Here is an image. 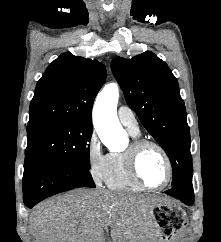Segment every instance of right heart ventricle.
<instances>
[{
  "label": "right heart ventricle",
  "mask_w": 221,
  "mask_h": 242,
  "mask_svg": "<svg viewBox=\"0 0 221 242\" xmlns=\"http://www.w3.org/2000/svg\"><path fill=\"white\" fill-rule=\"evenodd\" d=\"M134 138L139 137V133H132ZM106 185L114 190L140 191V187L130 176L128 171L125 152L110 153L104 179Z\"/></svg>",
  "instance_id": "e07e8e85"
}]
</instances>
